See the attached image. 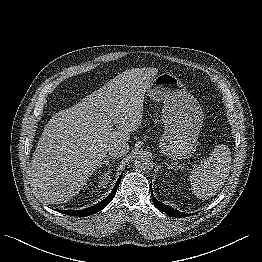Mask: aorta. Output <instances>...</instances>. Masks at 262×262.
<instances>
[{
	"mask_svg": "<svg viewBox=\"0 0 262 262\" xmlns=\"http://www.w3.org/2000/svg\"><path fill=\"white\" fill-rule=\"evenodd\" d=\"M135 169L139 172H147L153 168L151 159L146 154L137 155L134 160Z\"/></svg>",
	"mask_w": 262,
	"mask_h": 262,
	"instance_id": "1",
	"label": "aorta"
}]
</instances>
